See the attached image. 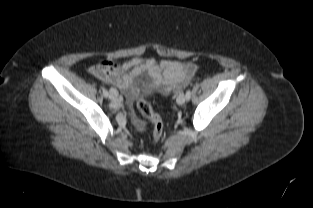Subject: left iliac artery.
<instances>
[{"label": "left iliac artery", "mask_w": 313, "mask_h": 208, "mask_svg": "<svg viewBox=\"0 0 313 208\" xmlns=\"http://www.w3.org/2000/svg\"><path fill=\"white\" fill-rule=\"evenodd\" d=\"M190 97H191V91L187 90L186 91V99H190Z\"/></svg>", "instance_id": "44dca946"}]
</instances>
